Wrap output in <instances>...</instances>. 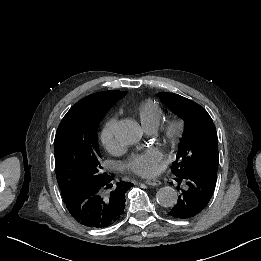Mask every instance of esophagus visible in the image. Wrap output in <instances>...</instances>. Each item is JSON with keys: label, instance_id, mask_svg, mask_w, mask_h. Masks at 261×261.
Segmentation results:
<instances>
[{"label": "esophagus", "instance_id": "obj_1", "mask_svg": "<svg viewBox=\"0 0 261 261\" xmlns=\"http://www.w3.org/2000/svg\"><path fill=\"white\" fill-rule=\"evenodd\" d=\"M145 183L150 186H160L162 184V182L157 179H149V180H146Z\"/></svg>", "mask_w": 261, "mask_h": 261}]
</instances>
